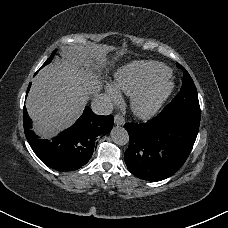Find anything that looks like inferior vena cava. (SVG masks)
Instances as JSON below:
<instances>
[{
    "instance_id": "1",
    "label": "inferior vena cava",
    "mask_w": 228,
    "mask_h": 228,
    "mask_svg": "<svg viewBox=\"0 0 228 228\" xmlns=\"http://www.w3.org/2000/svg\"><path fill=\"white\" fill-rule=\"evenodd\" d=\"M91 109L97 115H109L112 113L114 105L110 96L99 94L92 99Z\"/></svg>"
}]
</instances>
